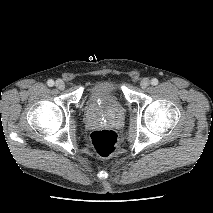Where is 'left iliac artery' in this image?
Segmentation results:
<instances>
[{
  "mask_svg": "<svg viewBox=\"0 0 213 213\" xmlns=\"http://www.w3.org/2000/svg\"><path fill=\"white\" fill-rule=\"evenodd\" d=\"M151 84L154 85V86H156V85L158 84V79L153 78V79L151 80Z\"/></svg>",
  "mask_w": 213,
  "mask_h": 213,
  "instance_id": "1",
  "label": "left iliac artery"
}]
</instances>
